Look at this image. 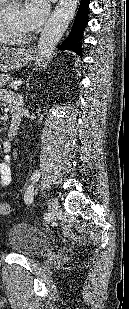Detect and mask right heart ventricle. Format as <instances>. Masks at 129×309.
I'll list each match as a JSON object with an SVG mask.
<instances>
[{"instance_id": "e07e8e85", "label": "right heart ventricle", "mask_w": 129, "mask_h": 309, "mask_svg": "<svg viewBox=\"0 0 129 309\" xmlns=\"http://www.w3.org/2000/svg\"><path fill=\"white\" fill-rule=\"evenodd\" d=\"M1 1H3V0H0V8H1ZM6 39H7V37L3 36L1 31H0V42L5 41Z\"/></svg>"}]
</instances>
